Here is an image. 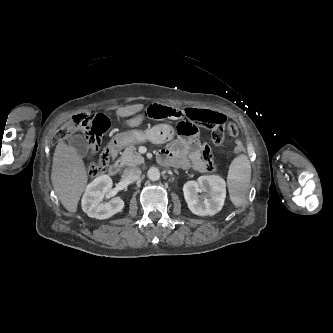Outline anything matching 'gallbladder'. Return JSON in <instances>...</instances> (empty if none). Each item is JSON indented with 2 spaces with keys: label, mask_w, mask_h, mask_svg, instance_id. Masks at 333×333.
I'll use <instances>...</instances> for the list:
<instances>
[{
  "label": "gallbladder",
  "mask_w": 333,
  "mask_h": 333,
  "mask_svg": "<svg viewBox=\"0 0 333 333\" xmlns=\"http://www.w3.org/2000/svg\"><path fill=\"white\" fill-rule=\"evenodd\" d=\"M86 143L85 140L82 137H78L75 140L74 143V152L79 153V152H86Z\"/></svg>",
  "instance_id": "obj_1"
}]
</instances>
